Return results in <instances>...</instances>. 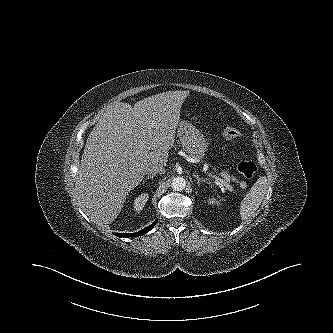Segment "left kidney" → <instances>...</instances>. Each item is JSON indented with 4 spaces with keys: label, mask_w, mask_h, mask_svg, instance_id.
<instances>
[{
    "label": "left kidney",
    "mask_w": 333,
    "mask_h": 333,
    "mask_svg": "<svg viewBox=\"0 0 333 333\" xmlns=\"http://www.w3.org/2000/svg\"><path fill=\"white\" fill-rule=\"evenodd\" d=\"M208 204H210V205H219L220 202L216 198L212 197V198L208 199Z\"/></svg>",
    "instance_id": "left-kidney-1"
}]
</instances>
